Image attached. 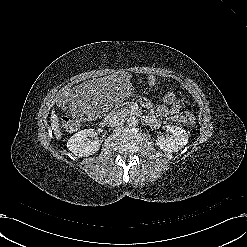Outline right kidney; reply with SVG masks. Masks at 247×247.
Listing matches in <instances>:
<instances>
[{"label": "right kidney", "mask_w": 247, "mask_h": 247, "mask_svg": "<svg viewBox=\"0 0 247 247\" xmlns=\"http://www.w3.org/2000/svg\"><path fill=\"white\" fill-rule=\"evenodd\" d=\"M94 129H84L75 133L67 142L68 149L78 157H87L96 153L100 144L97 141H88L87 137L95 136Z\"/></svg>", "instance_id": "obj_1"}]
</instances>
